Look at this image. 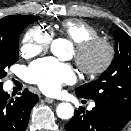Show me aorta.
Masks as SVG:
<instances>
[{
  "label": "aorta",
  "instance_id": "762f6f07",
  "mask_svg": "<svg viewBox=\"0 0 131 131\" xmlns=\"http://www.w3.org/2000/svg\"><path fill=\"white\" fill-rule=\"evenodd\" d=\"M67 49V41L64 39H55L51 43V52L53 55L63 58ZM57 116L61 119H69L74 114V108L70 103H60L56 108Z\"/></svg>",
  "mask_w": 131,
  "mask_h": 131
}]
</instances>
